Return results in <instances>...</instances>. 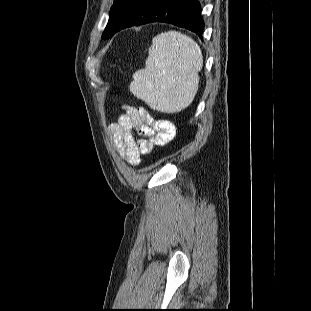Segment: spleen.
I'll return each mask as SVG.
<instances>
[{
    "label": "spleen",
    "mask_w": 311,
    "mask_h": 311,
    "mask_svg": "<svg viewBox=\"0 0 311 311\" xmlns=\"http://www.w3.org/2000/svg\"><path fill=\"white\" fill-rule=\"evenodd\" d=\"M202 65V51L192 38L177 31L158 34L145 68L133 74L130 91L154 110L179 112L197 93Z\"/></svg>",
    "instance_id": "1"
}]
</instances>
